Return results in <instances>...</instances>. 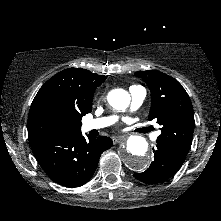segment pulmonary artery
Returning <instances> with one entry per match:
<instances>
[{
  "instance_id": "pulmonary-artery-1",
  "label": "pulmonary artery",
  "mask_w": 221,
  "mask_h": 221,
  "mask_svg": "<svg viewBox=\"0 0 221 221\" xmlns=\"http://www.w3.org/2000/svg\"><path fill=\"white\" fill-rule=\"evenodd\" d=\"M130 95H131V110H136L138 109L146 96V91L143 87L141 86H131L130 87ZM117 121V116H109V117H102V118H98V119H93V120H89L84 122L83 124V129L85 131H90V130H94V129H101L104 127H107L111 124H113L114 122ZM154 139H156L157 135L155 134Z\"/></svg>"
}]
</instances>
